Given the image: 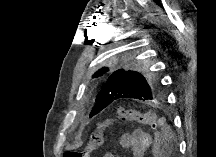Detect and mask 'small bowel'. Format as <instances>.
<instances>
[{
    "label": "small bowel",
    "instance_id": "1",
    "mask_svg": "<svg viewBox=\"0 0 216 157\" xmlns=\"http://www.w3.org/2000/svg\"><path fill=\"white\" fill-rule=\"evenodd\" d=\"M152 136L145 131L135 130L132 133L123 134L120 138V146L129 149L133 157H142L150 148ZM105 157H113L112 152L106 153Z\"/></svg>",
    "mask_w": 216,
    "mask_h": 157
}]
</instances>
